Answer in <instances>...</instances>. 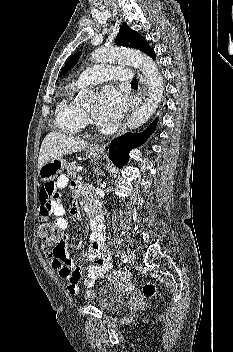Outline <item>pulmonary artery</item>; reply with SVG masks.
Returning a JSON list of instances; mask_svg holds the SVG:
<instances>
[{
  "label": "pulmonary artery",
  "instance_id": "1",
  "mask_svg": "<svg viewBox=\"0 0 233 352\" xmlns=\"http://www.w3.org/2000/svg\"><path fill=\"white\" fill-rule=\"evenodd\" d=\"M132 73L123 67L95 65L84 70L76 80L78 86L98 84L108 80H131Z\"/></svg>",
  "mask_w": 233,
  "mask_h": 352
}]
</instances>
